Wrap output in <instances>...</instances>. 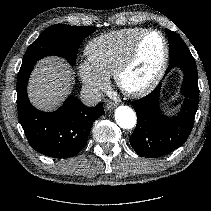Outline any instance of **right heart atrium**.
I'll list each match as a JSON object with an SVG mask.
<instances>
[{
	"instance_id": "right-heart-atrium-1",
	"label": "right heart atrium",
	"mask_w": 211,
	"mask_h": 211,
	"mask_svg": "<svg viewBox=\"0 0 211 211\" xmlns=\"http://www.w3.org/2000/svg\"><path fill=\"white\" fill-rule=\"evenodd\" d=\"M78 75L92 96H98L108 84V78L98 72L88 60H82L78 64Z\"/></svg>"
}]
</instances>
